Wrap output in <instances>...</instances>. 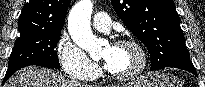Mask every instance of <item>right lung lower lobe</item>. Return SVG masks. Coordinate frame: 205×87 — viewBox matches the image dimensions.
<instances>
[{
	"mask_svg": "<svg viewBox=\"0 0 205 87\" xmlns=\"http://www.w3.org/2000/svg\"><path fill=\"white\" fill-rule=\"evenodd\" d=\"M26 66H29V65H27V64H16V65H12V66L8 67V70H7L6 74H5V77H4V79H3L2 84H4V83L8 80V78H9L15 71L19 70L20 68L26 67Z\"/></svg>",
	"mask_w": 205,
	"mask_h": 87,
	"instance_id": "1",
	"label": "right lung lower lobe"
}]
</instances>
